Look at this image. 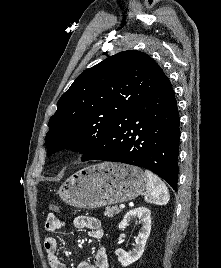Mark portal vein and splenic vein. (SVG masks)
I'll use <instances>...</instances> for the list:
<instances>
[{"label": "portal vein and splenic vein", "instance_id": "18ae733b", "mask_svg": "<svg viewBox=\"0 0 221 268\" xmlns=\"http://www.w3.org/2000/svg\"><path fill=\"white\" fill-rule=\"evenodd\" d=\"M119 208H120V209H124V208H125V205H124V204H121V205L119 206Z\"/></svg>", "mask_w": 221, "mask_h": 268}]
</instances>
